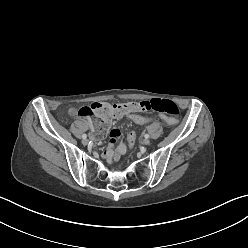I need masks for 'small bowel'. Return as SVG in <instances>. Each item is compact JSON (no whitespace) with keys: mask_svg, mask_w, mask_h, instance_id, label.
I'll return each mask as SVG.
<instances>
[{"mask_svg":"<svg viewBox=\"0 0 248 248\" xmlns=\"http://www.w3.org/2000/svg\"><path fill=\"white\" fill-rule=\"evenodd\" d=\"M129 112L133 113L134 111H126L123 115L114 118H121V117L128 118L127 114ZM69 115L71 117L78 116V110L75 108H71L69 110ZM159 117L169 125H174L177 122L176 119L168 117L164 114H160ZM121 141H122L121 131L118 128L113 127L110 131L108 147L104 152V158L109 164L118 161L126 153V149H127L126 144Z\"/></svg>","mask_w":248,"mask_h":248,"instance_id":"obj_1","label":"small bowel"}]
</instances>
